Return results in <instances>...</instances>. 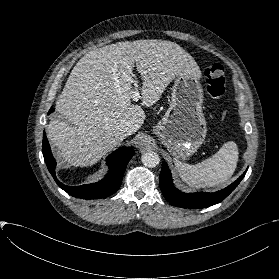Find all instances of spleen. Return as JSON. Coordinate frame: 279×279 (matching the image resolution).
<instances>
[{
	"label": "spleen",
	"instance_id": "3e777b00",
	"mask_svg": "<svg viewBox=\"0 0 279 279\" xmlns=\"http://www.w3.org/2000/svg\"><path fill=\"white\" fill-rule=\"evenodd\" d=\"M237 162L238 148L233 141L225 143L216 154L198 164L174 161L180 178L195 188L214 187L226 182L232 177Z\"/></svg>",
	"mask_w": 279,
	"mask_h": 279
}]
</instances>
